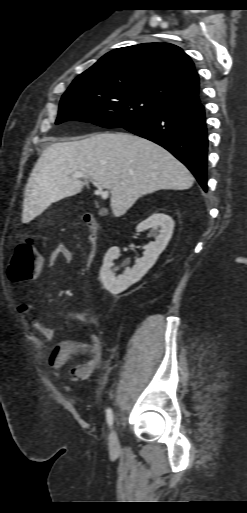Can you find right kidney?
<instances>
[{
    "mask_svg": "<svg viewBox=\"0 0 247 513\" xmlns=\"http://www.w3.org/2000/svg\"><path fill=\"white\" fill-rule=\"evenodd\" d=\"M148 228H151V234L155 237V241H151L143 247V256L137 259L135 265L131 269H127L124 274L116 277L111 268L113 261L119 257L120 249L112 247L106 253L100 270V278L103 286L110 293L118 294L126 290L139 281L155 264L172 237L174 221L169 215L155 213L138 224L136 230L141 232Z\"/></svg>",
    "mask_w": 247,
    "mask_h": 513,
    "instance_id": "right-kidney-1",
    "label": "right kidney"
}]
</instances>
